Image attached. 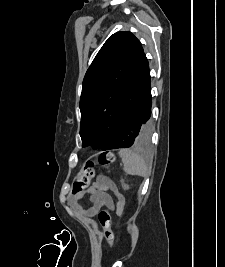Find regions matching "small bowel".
<instances>
[{"mask_svg": "<svg viewBox=\"0 0 225 267\" xmlns=\"http://www.w3.org/2000/svg\"><path fill=\"white\" fill-rule=\"evenodd\" d=\"M110 192L116 199V214L120 216L122 209L118 206L120 198L124 196L119 192L116 184L106 176H99L86 191L75 193L70 197V205L79 213L83 214L91 223L94 222V217L98 211L104 207L114 210V201L111 195L106 193ZM88 200L91 203L90 207H86L84 201Z\"/></svg>", "mask_w": 225, "mask_h": 267, "instance_id": "1", "label": "small bowel"}]
</instances>
